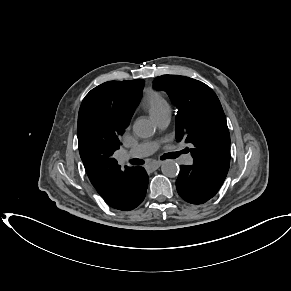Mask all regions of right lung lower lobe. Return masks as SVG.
<instances>
[{
  "mask_svg": "<svg viewBox=\"0 0 291 291\" xmlns=\"http://www.w3.org/2000/svg\"><path fill=\"white\" fill-rule=\"evenodd\" d=\"M149 177L142 167H129L125 173V193L121 200L108 203L110 207L129 211L139 206L145 198Z\"/></svg>",
  "mask_w": 291,
  "mask_h": 291,
  "instance_id": "right-lung-lower-lobe-1",
  "label": "right lung lower lobe"
}]
</instances>
